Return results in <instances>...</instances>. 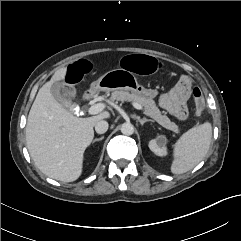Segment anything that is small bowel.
Instances as JSON below:
<instances>
[{
    "label": "small bowel",
    "mask_w": 241,
    "mask_h": 241,
    "mask_svg": "<svg viewBox=\"0 0 241 241\" xmlns=\"http://www.w3.org/2000/svg\"><path fill=\"white\" fill-rule=\"evenodd\" d=\"M191 79L181 75L175 87L168 93L159 96V105L178 120H186L189 111L187 102L194 92Z\"/></svg>",
    "instance_id": "small-bowel-1"
}]
</instances>
